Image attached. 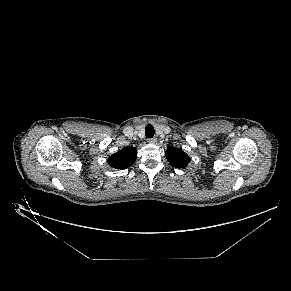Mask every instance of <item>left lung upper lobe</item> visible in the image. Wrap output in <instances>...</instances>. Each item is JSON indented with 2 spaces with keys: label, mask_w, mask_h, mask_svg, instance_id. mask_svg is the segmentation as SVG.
<instances>
[{
  "label": "left lung upper lobe",
  "mask_w": 291,
  "mask_h": 291,
  "mask_svg": "<svg viewBox=\"0 0 291 291\" xmlns=\"http://www.w3.org/2000/svg\"><path fill=\"white\" fill-rule=\"evenodd\" d=\"M165 155L170 165L175 168H185L190 162V157L181 148L170 146Z\"/></svg>",
  "instance_id": "obj_1"
}]
</instances>
